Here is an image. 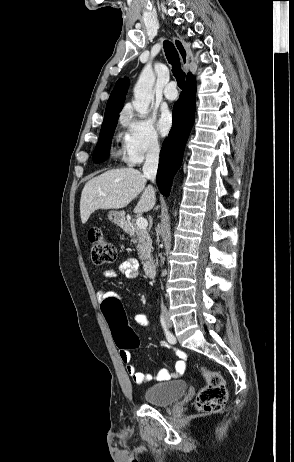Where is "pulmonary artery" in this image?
Returning <instances> with one entry per match:
<instances>
[{
  "mask_svg": "<svg viewBox=\"0 0 294 462\" xmlns=\"http://www.w3.org/2000/svg\"><path fill=\"white\" fill-rule=\"evenodd\" d=\"M163 94H164L165 99H167L168 101L176 100L178 97V93L176 91L175 82H170L169 84H167V86L164 89Z\"/></svg>",
  "mask_w": 294,
  "mask_h": 462,
  "instance_id": "pulmonary-artery-1",
  "label": "pulmonary artery"
}]
</instances>
